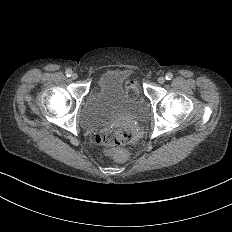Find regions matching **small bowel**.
I'll return each mask as SVG.
<instances>
[{"instance_id":"1","label":"small bowel","mask_w":232,"mask_h":232,"mask_svg":"<svg viewBox=\"0 0 232 232\" xmlns=\"http://www.w3.org/2000/svg\"><path fill=\"white\" fill-rule=\"evenodd\" d=\"M94 84H95V86L97 87V86H98V81H95ZM93 109H94V103L91 104V110H93Z\"/></svg>"}]
</instances>
